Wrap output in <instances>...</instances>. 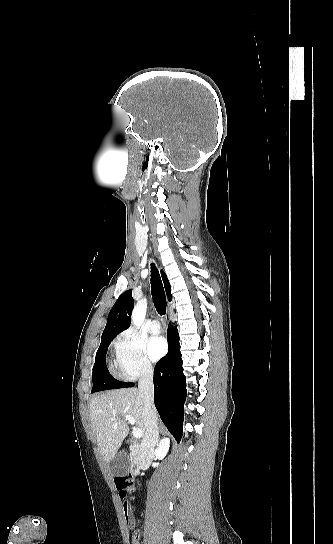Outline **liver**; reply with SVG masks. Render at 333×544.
I'll use <instances>...</instances> for the list:
<instances>
[{
    "label": "liver",
    "mask_w": 333,
    "mask_h": 544,
    "mask_svg": "<svg viewBox=\"0 0 333 544\" xmlns=\"http://www.w3.org/2000/svg\"><path fill=\"white\" fill-rule=\"evenodd\" d=\"M91 423L106 463H110L129 433L124 415L135 419L136 428L145 432L143 399L136 388L107 391L90 402ZM115 415V418H111Z\"/></svg>",
    "instance_id": "6515ba94"
}]
</instances>
